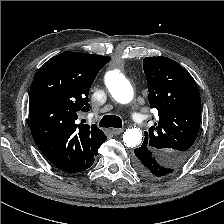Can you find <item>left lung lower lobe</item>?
Listing matches in <instances>:
<instances>
[{
  "mask_svg": "<svg viewBox=\"0 0 224 224\" xmlns=\"http://www.w3.org/2000/svg\"><path fill=\"white\" fill-rule=\"evenodd\" d=\"M134 152V167L142 176L156 179L170 172L146 147L141 146L135 149Z\"/></svg>",
  "mask_w": 224,
  "mask_h": 224,
  "instance_id": "obj_1",
  "label": "left lung lower lobe"
}]
</instances>
